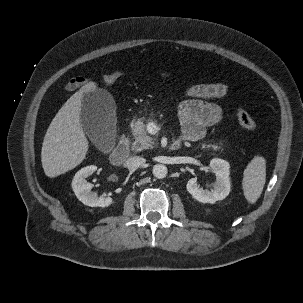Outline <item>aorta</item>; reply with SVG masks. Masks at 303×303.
I'll use <instances>...</instances> for the list:
<instances>
[{"mask_svg": "<svg viewBox=\"0 0 303 303\" xmlns=\"http://www.w3.org/2000/svg\"><path fill=\"white\" fill-rule=\"evenodd\" d=\"M168 173L167 167L163 164H156L153 167V175L158 179H163Z\"/></svg>", "mask_w": 303, "mask_h": 303, "instance_id": "1", "label": "aorta"}]
</instances>
